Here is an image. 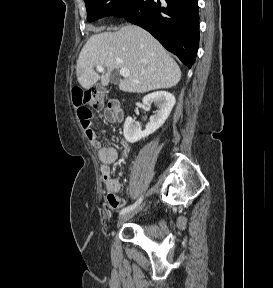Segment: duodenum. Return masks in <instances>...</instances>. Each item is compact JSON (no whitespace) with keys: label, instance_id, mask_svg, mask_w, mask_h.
<instances>
[{"label":"duodenum","instance_id":"1","mask_svg":"<svg viewBox=\"0 0 273 288\" xmlns=\"http://www.w3.org/2000/svg\"><path fill=\"white\" fill-rule=\"evenodd\" d=\"M115 108H116V109H115L116 113H117V114H120V112H119V110H118L119 107H118V106H115ZM120 115H121V114H120Z\"/></svg>","mask_w":273,"mask_h":288}]
</instances>
